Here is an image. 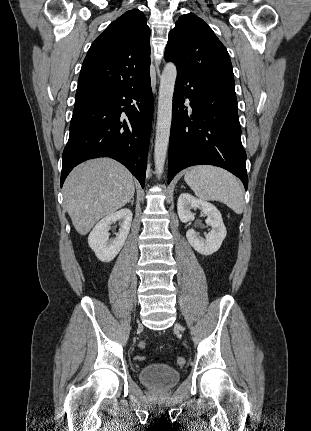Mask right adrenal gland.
Masks as SVG:
<instances>
[{"label":"right adrenal gland","instance_id":"obj_1","mask_svg":"<svg viewBox=\"0 0 311 431\" xmlns=\"http://www.w3.org/2000/svg\"><path fill=\"white\" fill-rule=\"evenodd\" d=\"M128 204H131V206H134V198H132V200H130V202H128Z\"/></svg>","mask_w":311,"mask_h":431}]
</instances>
